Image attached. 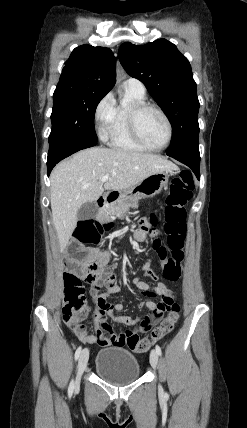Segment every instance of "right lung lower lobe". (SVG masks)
Returning <instances> with one entry per match:
<instances>
[{
	"label": "right lung lower lobe",
	"mask_w": 247,
	"mask_h": 428,
	"mask_svg": "<svg viewBox=\"0 0 247 428\" xmlns=\"http://www.w3.org/2000/svg\"><path fill=\"white\" fill-rule=\"evenodd\" d=\"M97 142H83V141H57L49 144V152L47 159L48 176L52 171L53 167L62 159L70 156L71 154L92 146H95Z\"/></svg>",
	"instance_id": "obj_1"
}]
</instances>
